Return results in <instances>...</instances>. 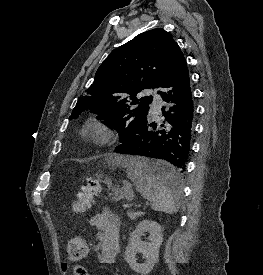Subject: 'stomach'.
I'll list each match as a JSON object with an SVG mask.
<instances>
[{
    "mask_svg": "<svg viewBox=\"0 0 263 275\" xmlns=\"http://www.w3.org/2000/svg\"><path fill=\"white\" fill-rule=\"evenodd\" d=\"M124 159H126V158H122V161ZM157 164L165 165L162 162H157ZM131 196H132V191L129 188H124V189H121V190L115 189V199H118V198H121V197H125L126 199H129V198H131Z\"/></svg>",
    "mask_w": 263,
    "mask_h": 275,
    "instance_id": "0dacf381",
    "label": "stomach"
}]
</instances>
